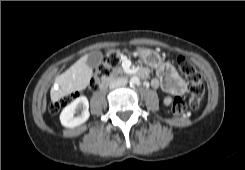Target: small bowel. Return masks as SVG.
Masks as SVG:
<instances>
[{
  "instance_id": "c3829d8e",
  "label": "small bowel",
  "mask_w": 245,
  "mask_h": 170,
  "mask_svg": "<svg viewBox=\"0 0 245 170\" xmlns=\"http://www.w3.org/2000/svg\"><path fill=\"white\" fill-rule=\"evenodd\" d=\"M153 88H163L169 95L165 98V103L169 104L172 95L182 86V80L176 69L167 63L160 64L157 67V77L151 80Z\"/></svg>"
}]
</instances>
